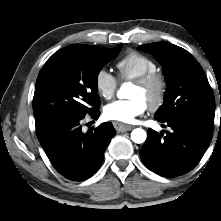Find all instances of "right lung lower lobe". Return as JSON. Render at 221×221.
<instances>
[{
    "label": "right lung lower lobe",
    "mask_w": 221,
    "mask_h": 221,
    "mask_svg": "<svg viewBox=\"0 0 221 221\" xmlns=\"http://www.w3.org/2000/svg\"><path fill=\"white\" fill-rule=\"evenodd\" d=\"M97 109L86 116L98 119ZM84 117L62 120L38 138L54 168L72 181H83L98 171L104 151L116 134L110 122L83 133Z\"/></svg>",
    "instance_id": "right-lung-lower-lobe-1"
}]
</instances>
